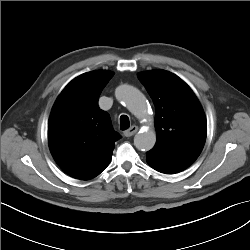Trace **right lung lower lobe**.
Returning <instances> with one entry per match:
<instances>
[{"label": "right lung lower lobe", "mask_w": 250, "mask_h": 250, "mask_svg": "<svg viewBox=\"0 0 250 250\" xmlns=\"http://www.w3.org/2000/svg\"><path fill=\"white\" fill-rule=\"evenodd\" d=\"M109 162L110 161H108L105 164H103L101 167H99L93 173H91L90 175H88L87 177H85L83 180L92 179V178L96 177L97 175H99L109 165Z\"/></svg>", "instance_id": "1"}]
</instances>
